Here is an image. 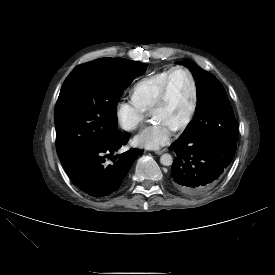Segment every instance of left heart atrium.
I'll return each instance as SVG.
<instances>
[{"label":"left heart atrium","instance_id":"39dd6f15","mask_svg":"<svg viewBox=\"0 0 275 275\" xmlns=\"http://www.w3.org/2000/svg\"><path fill=\"white\" fill-rule=\"evenodd\" d=\"M174 129L161 120H154L134 138V143L146 149H158L166 145Z\"/></svg>","mask_w":275,"mask_h":275}]
</instances>
